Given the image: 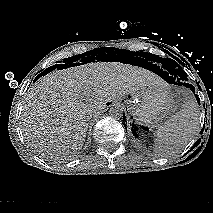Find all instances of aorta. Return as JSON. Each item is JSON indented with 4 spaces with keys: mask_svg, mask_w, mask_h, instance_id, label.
<instances>
[{
    "mask_svg": "<svg viewBox=\"0 0 213 213\" xmlns=\"http://www.w3.org/2000/svg\"><path fill=\"white\" fill-rule=\"evenodd\" d=\"M124 112L125 108L121 103H114L109 110V115L112 118L120 119L123 117Z\"/></svg>",
    "mask_w": 213,
    "mask_h": 213,
    "instance_id": "obj_1",
    "label": "aorta"
}]
</instances>
